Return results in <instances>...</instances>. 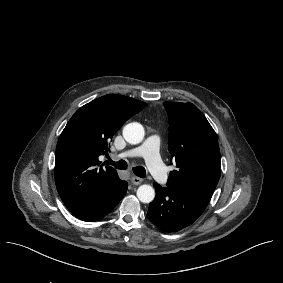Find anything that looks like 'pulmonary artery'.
<instances>
[{"label": "pulmonary artery", "mask_w": 283, "mask_h": 283, "mask_svg": "<svg viewBox=\"0 0 283 283\" xmlns=\"http://www.w3.org/2000/svg\"><path fill=\"white\" fill-rule=\"evenodd\" d=\"M159 145V137L150 135L141 145L125 148L123 150V156L135 157L142 155V160L151 171L154 181L159 185H164L168 181V176L164 170L162 157L156 154Z\"/></svg>", "instance_id": "obj_1"}]
</instances>
